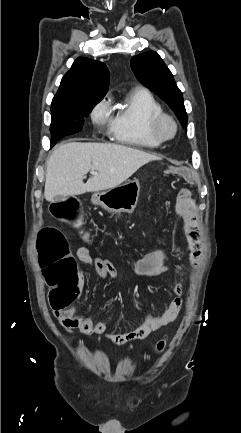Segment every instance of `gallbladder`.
<instances>
[{"label": "gallbladder", "instance_id": "1", "mask_svg": "<svg viewBox=\"0 0 241 433\" xmlns=\"http://www.w3.org/2000/svg\"><path fill=\"white\" fill-rule=\"evenodd\" d=\"M59 200H62V196H56V197H54V199H53L54 202H57V201H59Z\"/></svg>", "mask_w": 241, "mask_h": 433}]
</instances>
